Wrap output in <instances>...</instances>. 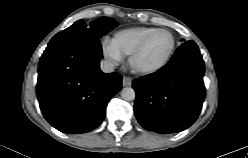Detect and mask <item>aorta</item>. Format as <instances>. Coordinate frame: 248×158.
Listing matches in <instances>:
<instances>
[{"label": "aorta", "instance_id": "762f6f07", "mask_svg": "<svg viewBox=\"0 0 248 158\" xmlns=\"http://www.w3.org/2000/svg\"><path fill=\"white\" fill-rule=\"evenodd\" d=\"M121 97L126 101H132L135 99V91L131 87H125L121 90Z\"/></svg>", "mask_w": 248, "mask_h": 158}]
</instances>
